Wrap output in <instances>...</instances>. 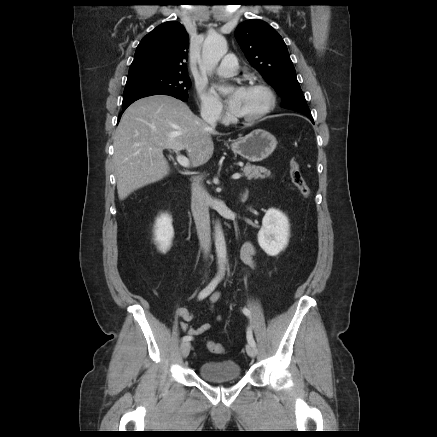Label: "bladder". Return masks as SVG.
<instances>
[{
	"mask_svg": "<svg viewBox=\"0 0 437 437\" xmlns=\"http://www.w3.org/2000/svg\"><path fill=\"white\" fill-rule=\"evenodd\" d=\"M200 377L210 382L238 380L241 377V367L233 360L205 361L198 369Z\"/></svg>",
	"mask_w": 437,
	"mask_h": 437,
	"instance_id": "bladder-1",
	"label": "bladder"
}]
</instances>
